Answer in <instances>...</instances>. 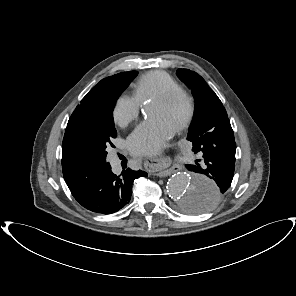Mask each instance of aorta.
Wrapping results in <instances>:
<instances>
[{"label":"aorta","mask_w":296,"mask_h":296,"mask_svg":"<svg viewBox=\"0 0 296 296\" xmlns=\"http://www.w3.org/2000/svg\"><path fill=\"white\" fill-rule=\"evenodd\" d=\"M166 188L176 206L188 214L205 213L217 201L218 186L205 176L176 173L170 177Z\"/></svg>","instance_id":"obj_1"}]
</instances>
